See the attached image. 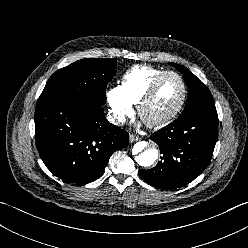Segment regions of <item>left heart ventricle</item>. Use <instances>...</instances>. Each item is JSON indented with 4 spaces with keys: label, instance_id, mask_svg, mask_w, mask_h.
<instances>
[{
    "label": "left heart ventricle",
    "instance_id": "b2bd125f",
    "mask_svg": "<svg viewBox=\"0 0 248 248\" xmlns=\"http://www.w3.org/2000/svg\"><path fill=\"white\" fill-rule=\"evenodd\" d=\"M182 85L175 76L166 77L159 85L157 92L145 110L147 120H155L171 112L179 103Z\"/></svg>",
    "mask_w": 248,
    "mask_h": 248
}]
</instances>
